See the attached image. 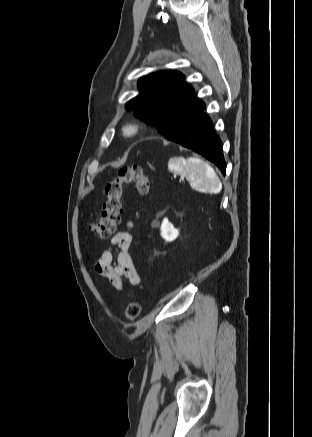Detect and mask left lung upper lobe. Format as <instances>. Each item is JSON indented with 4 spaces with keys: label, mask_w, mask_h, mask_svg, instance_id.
Instances as JSON below:
<instances>
[{
    "label": "left lung upper lobe",
    "mask_w": 312,
    "mask_h": 437,
    "mask_svg": "<svg viewBox=\"0 0 312 437\" xmlns=\"http://www.w3.org/2000/svg\"><path fill=\"white\" fill-rule=\"evenodd\" d=\"M179 72L160 71L139 80L140 93L126 104L127 110L157 128L170 141L178 138L205 104Z\"/></svg>",
    "instance_id": "1"
}]
</instances>
